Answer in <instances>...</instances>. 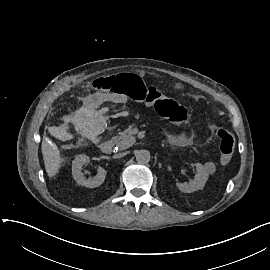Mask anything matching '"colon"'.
<instances>
[{
  "label": "colon",
  "mask_w": 270,
  "mask_h": 270,
  "mask_svg": "<svg viewBox=\"0 0 270 270\" xmlns=\"http://www.w3.org/2000/svg\"><path fill=\"white\" fill-rule=\"evenodd\" d=\"M99 89H108L112 94L119 93L128 96L134 101L143 102L154 107L158 114L175 124H182L189 116L188 108L176 100L164 96L157 88L146 84L138 74L126 72L106 79L99 76L95 80ZM214 139L218 146V160L224 167L233 165L230 154L235 149L233 134L227 129L221 128L215 132Z\"/></svg>",
  "instance_id": "colon-1"
}]
</instances>
